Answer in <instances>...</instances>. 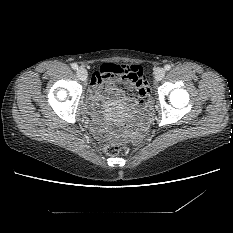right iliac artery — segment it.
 <instances>
[{"label": "right iliac artery", "instance_id": "82829eb1", "mask_svg": "<svg viewBox=\"0 0 233 233\" xmlns=\"http://www.w3.org/2000/svg\"><path fill=\"white\" fill-rule=\"evenodd\" d=\"M71 67L76 70L78 68V65L76 63L71 64Z\"/></svg>", "mask_w": 233, "mask_h": 233}]
</instances>
